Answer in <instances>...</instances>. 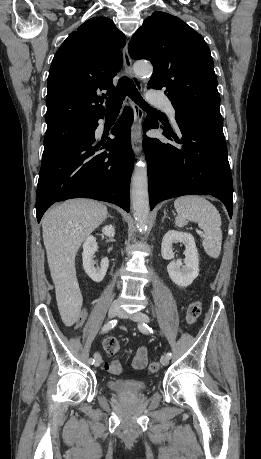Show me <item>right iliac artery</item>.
<instances>
[{"instance_id": "obj_1", "label": "right iliac artery", "mask_w": 261, "mask_h": 459, "mask_svg": "<svg viewBox=\"0 0 261 459\" xmlns=\"http://www.w3.org/2000/svg\"><path fill=\"white\" fill-rule=\"evenodd\" d=\"M117 322H118V321H117L116 319L107 322V323L102 327V332H103V333L108 332L109 330H111V329L117 324ZM97 355H98V353H95V354H94V358H96ZM94 362H95V359H92V358L89 359V363H90V364H93Z\"/></svg>"}]
</instances>
